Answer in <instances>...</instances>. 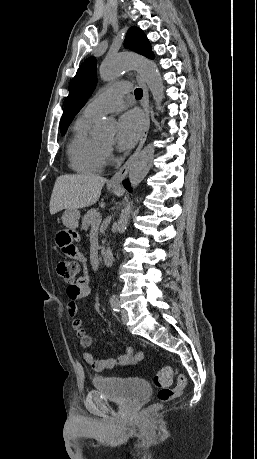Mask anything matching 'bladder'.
Here are the masks:
<instances>
[{"instance_id":"obj_1","label":"bladder","mask_w":257,"mask_h":459,"mask_svg":"<svg viewBox=\"0 0 257 459\" xmlns=\"http://www.w3.org/2000/svg\"><path fill=\"white\" fill-rule=\"evenodd\" d=\"M92 385L95 391L120 404L138 402L151 393L149 384L137 378L95 376L92 379Z\"/></svg>"}]
</instances>
